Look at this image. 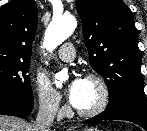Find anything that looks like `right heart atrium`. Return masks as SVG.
Here are the masks:
<instances>
[{"instance_id":"1","label":"right heart atrium","mask_w":147,"mask_h":131,"mask_svg":"<svg viewBox=\"0 0 147 131\" xmlns=\"http://www.w3.org/2000/svg\"><path fill=\"white\" fill-rule=\"evenodd\" d=\"M35 93L37 96L39 110L51 117L59 116L64 112L61 97L47 83L36 80Z\"/></svg>"}]
</instances>
